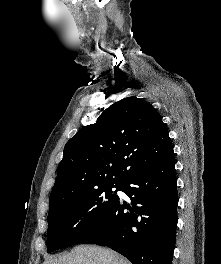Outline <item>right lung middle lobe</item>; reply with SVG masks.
<instances>
[{
	"label": "right lung middle lobe",
	"mask_w": 221,
	"mask_h": 264,
	"mask_svg": "<svg viewBox=\"0 0 221 264\" xmlns=\"http://www.w3.org/2000/svg\"><path fill=\"white\" fill-rule=\"evenodd\" d=\"M122 183H109L72 194L48 214V253L80 243L119 201ZM116 188L113 193L112 189Z\"/></svg>",
	"instance_id": "obj_1"
}]
</instances>
